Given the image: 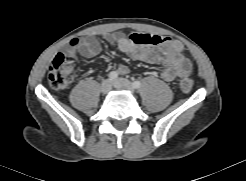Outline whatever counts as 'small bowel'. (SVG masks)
Instances as JSON below:
<instances>
[{
    "label": "small bowel",
    "mask_w": 246,
    "mask_h": 181,
    "mask_svg": "<svg viewBox=\"0 0 246 181\" xmlns=\"http://www.w3.org/2000/svg\"><path fill=\"white\" fill-rule=\"evenodd\" d=\"M143 35L149 34L133 33L124 35L111 33L105 35L104 38L110 44H117L122 52L134 59L162 65L161 78L167 82L176 80L178 76L185 72H190V61L184 56L183 45L179 40L160 37L161 42L159 44L149 45L139 42V38ZM75 50L84 58H93L101 52V44L93 37H86L76 44L72 43V46L67 49V54L73 55ZM128 72L129 69L126 65L121 64L117 67V73L121 75Z\"/></svg>",
    "instance_id": "c3829d8e"
}]
</instances>
